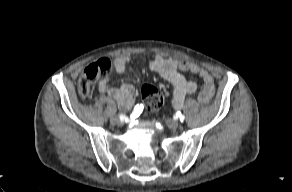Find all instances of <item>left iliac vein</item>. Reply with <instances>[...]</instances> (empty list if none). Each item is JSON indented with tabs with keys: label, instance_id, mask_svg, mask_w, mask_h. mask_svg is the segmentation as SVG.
Listing matches in <instances>:
<instances>
[{
	"label": "left iliac vein",
	"instance_id": "left-iliac-vein-1",
	"mask_svg": "<svg viewBox=\"0 0 292 192\" xmlns=\"http://www.w3.org/2000/svg\"><path fill=\"white\" fill-rule=\"evenodd\" d=\"M165 122H166V125L172 130L177 129L179 126V123L173 119H166Z\"/></svg>",
	"mask_w": 292,
	"mask_h": 192
}]
</instances>
